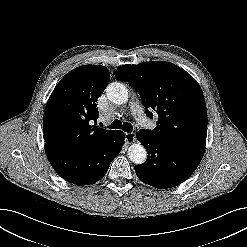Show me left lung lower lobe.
<instances>
[{
  "instance_id": "obj_1",
  "label": "left lung lower lobe",
  "mask_w": 247,
  "mask_h": 247,
  "mask_svg": "<svg viewBox=\"0 0 247 247\" xmlns=\"http://www.w3.org/2000/svg\"><path fill=\"white\" fill-rule=\"evenodd\" d=\"M137 139L146 148L147 160L135 166L138 178L155 188L166 189L184 182L198 167L203 154L160 143L138 131Z\"/></svg>"
}]
</instances>
